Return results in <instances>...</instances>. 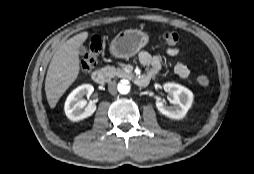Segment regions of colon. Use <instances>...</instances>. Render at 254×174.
Instances as JSON below:
<instances>
[{"instance_id":"colon-1","label":"colon","mask_w":254,"mask_h":174,"mask_svg":"<svg viewBox=\"0 0 254 174\" xmlns=\"http://www.w3.org/2000/svg\"><path fill=\"white\" fill-rule=\"evenodd\" d=\"M162 39L165 43L173 46L178 43L179 36L174 31H163ZM101 40L99 37H93L86 46L85 52L81 56L80 68L83 72H89L97 64V58L101 51ZM198 83L203 87H208L210 85V80L205 75H199L197 78Z\"/></svg>"}]
</instances>
